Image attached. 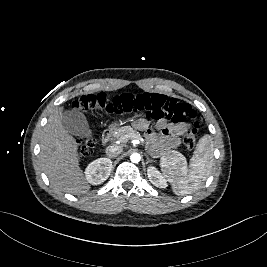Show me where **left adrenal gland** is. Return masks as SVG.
<instances>
[{
    "mask_svg": "<svg viewBox=\"0 0 267 267\" xmlns=\"http://www.w3.org/2000/svg\"><path fill=\"white\" fill-rule=\"evenodd\" d=\"M146 157H147V162H146L147 164H148L149 162H153V160L150 159L148 155H146Z\"/></svg>",
    "mask_w": 267,
    "mask_h": 267,
    "instance_id": "obj_1",
    "label": "left adrenal gland"
}]
</instances>
